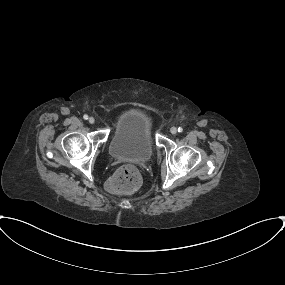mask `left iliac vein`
<instances>
[{
	"label": "left iliac vein",
	"instance_id": "1",
	"mask_svg": "<svg viewBox=\"0 0 285 285\" xmlns=\"http://www.w3.org/2000/svg\"><path fill=\"white\" fill-rule=\"evenodd\" d=\"M170 132H171L172 134H176V133H177V128H176V127H172V128L170 129Z\"/></svg>",
	"mask_w": 285,
	"mask_h": 285
}]
</instances>
